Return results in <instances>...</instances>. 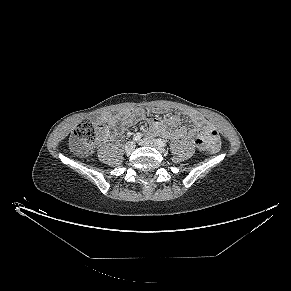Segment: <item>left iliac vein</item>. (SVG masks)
<instances>
[{
  "instance_id": "left-iliac-vein-1",
  "label": "left iliac vein",
  "mask_w": 291,
  "mask_h": 291,
  "mask_svg": "<svg viewBox=\"0 0 291 291\" xmlns=\"http://www.w3.org/2000/svg\"><path fill=\"white\" fill-rule=\"evenodd\" d=\"M139 144L140 145H143V146H151V147H154L157 150H159L161 153H164L165 152V149L163 147H161L160 145H158L157 142L154 139H152V138H144V139H142V140L139 141Z\"/></svg>"
}]
</instances>
